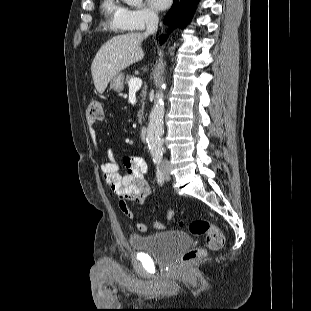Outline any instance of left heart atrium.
Returning a JSON list of instances; mask_svg holds the SVG:
<instances>
[{
	"instance_id": "39dd6f15",
	"label": "left heart atrium",
	"mask_w": 311,
	"mask_h": 311,
	"mask_svg": "<svg viewBox=\"0 0 311 311\" xmlns=\"http://www.w3.org/2000/svg\"><path fill=\"white\" fill-rule=\"evenodd\" d=\"M149 1L154 8L159 10L167 8L171 3V0H149Z\"/></svg>"
}]
</instances>
